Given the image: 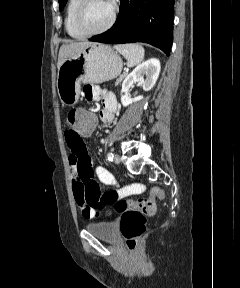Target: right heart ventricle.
<instances>
[{"label":"right heart ventricle","mask_w":240,"mask_h":288,"mask_svg":"<svg viewBox=\"0 0 240 288\" xmlns=\"http://www.w3.org/2000/svg\"><path fill=\"white\" fill-rule=\"evenodd\" d=\"M80 3V0H69L65 12V29L68 35L74 39H83L85 37L75 26V12Z\"/></svg>","instance_id":"1"}]
</instances>
